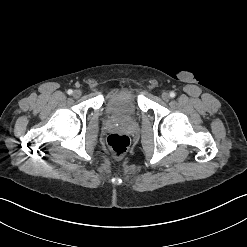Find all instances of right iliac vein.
I'll list each match as a JSON object with an SVG mask.
<instances>
[{
    "label": "right iliac vein",
    "instance_id": "right-iliac-vein-1",
    "mask_svg": "<svg viewBox=\"0 0 247 247\" xmlns=\"http://www.w3.org/2000/svg\"><path fill=\"white\" fill-rule=\"evenodd\" d=\"M81 94H82V92L78 89L73 92L74 98H79L81 96Z\"/></svg>",
    "mask_w": 247,
    "mask_h": 247
}]
</instances>
